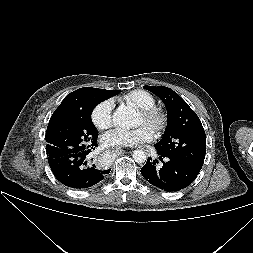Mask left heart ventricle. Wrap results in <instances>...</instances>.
<instances>
[{"label": "left heart ventricle", "mask_w": 253, "mask_h": 253, "mask_svg": "<svg viewBox=\"0 0 253 253\" xmlns=\"http://www.w3.org/2000/svg\"><path fill=\"white\" fill-rule=\"evenodd\" d=\"M138 125H147L153 130L152 124L146 121L145 118L141 114H139Z\"/></svg>", "instance_id": "b2bd125f"}]
</instances>
